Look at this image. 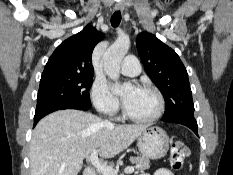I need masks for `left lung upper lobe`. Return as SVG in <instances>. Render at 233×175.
I'll list each match as a JSON object with an SVG mask.
<instances>
[{
	"mask_svg": "<svg viewBox=\"0 0 233 175\" xmlns=\"http://www.w3.org/2000/svg\"><path fill=\"white\" fill-rule=\"evenodd\" d=\"M136 46L145 71L164 96L163 120L194 118V104L186 68L176 52L156 36L142 32Z\"/></svg>",
	"mask_w": 233,
	"mask_h": 175,
	"instance_id": "left-lung-upper-lobe-1",
	"label": "left lung upper lobe"
}]
</instances>
